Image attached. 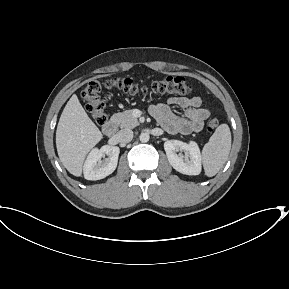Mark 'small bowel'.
<instances>
[{
  "instance_id": "obj_1",
  "label": "small bowel",
  "mask_w": 289,
  "mask_h": 289,
  "mask_svg": "<svg viewBox=\"0 0 289 289\" xmlns=\"http://www.w3.org/2000/svg\"><path fill=\"white\" fill-rule=\"evenodd\" d=\"M171 105L184 109L185 117L176 116L171 111ZM150 113L167 132L172 134L200 131L210 114L207 108L202 107V100L198 96L170 97L164 102L151 105Z\"/></svg>"
}]
</instances>
